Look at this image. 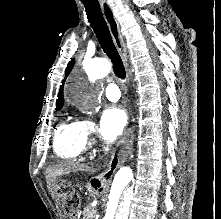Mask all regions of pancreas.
<instances>
[{
    "mask_svg": "<svg viewBox=\"0 0 221 219\" xmlns=\"http://www.w3.org/2000/svg\"><path fill=\"white\" fill-rule=\"evenodd\" d=\"M95 213L96 211L91 206H87L82 213L83 219H93Z\"/></svg>",
    "mask_w": 221,
    "mask_h": 219,
    "instance_id": "obj_1",
    "label": "pancreas"
}]
</instances>
